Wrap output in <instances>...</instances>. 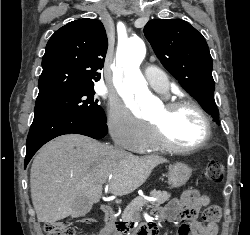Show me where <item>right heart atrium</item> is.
I'll use <instances>...</instances> for the list:
<instances>
[{
    "label": "right heart atrium",
    "mask_w": 250,
    "mask_h": 235,
    "mask_svg": "<svg viewBox=\"0 0 250 235\" xmlns=\"http://www.w3.org/2000/svg\"><path fill=\"white\" fill-rule=\"evenodd\" d=\"M107 126L112 139L130 151H141L150 138V127L119 102L110 104Z\"/></svg>",
    "instance_id": "obj_1"
}]
</instances>
